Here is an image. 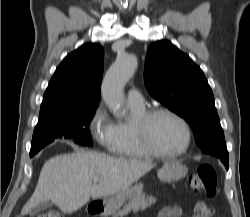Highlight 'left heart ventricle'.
Listing matches in <instances>:
<instances>
[{
  "mask_svg": "<svg viewBox=\"0 0 250 217\" xmlns=\"http://www.w3.org/2000/svg\"><path fill=\"white\" fill-rule=\"evenodd\" d=\"M150 135L155 146L165 153L178 151L186 143V135L182 125L166 114H160L153 118L150 123Z\"/></svg>",
  "mask_w": 250,
  "mask_h": 217,
  "instance_id": "b2bd125f",
  "label": "left heart ventricle"
}]
</instances>
